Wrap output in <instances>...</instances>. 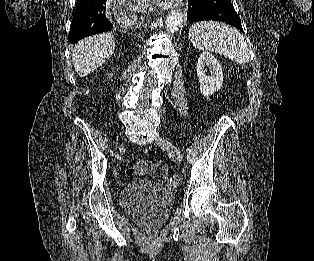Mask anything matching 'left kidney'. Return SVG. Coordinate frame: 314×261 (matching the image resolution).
Segmentation results:
<instances>
[{
    "instance_id": "1",
    "label": "left kidney",
    "mask_w": 314,
    "mask_h": 261,
    "mask_svg": "<svg viewBox=\"0 0 314 261\" xmlns=\"http://www.w3.org/2000/svg\"><path fill=\"white\" fill-rule=\"evenodd\" d=\"M205 66L210 67V75H206ZM196 71L200 84V92L208 97L219 91L223 83V72L220 63L209 52H203L198 58Z\"/></svg>"
}]
</instances>
